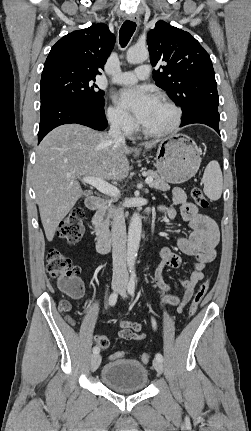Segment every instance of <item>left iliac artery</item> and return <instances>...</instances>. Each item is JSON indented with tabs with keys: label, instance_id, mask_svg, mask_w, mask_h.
I'll return each mask as SVG.
<instances>
[{
	"label": "left iliac artery",
	"instance_id": "44dca946",
	"mask_svg": "<svg viewBox=\"0 0 251 431\" xmlns=\"http://www.w3.org/2000/svg\"><path fill=\"white\" fill-rule=\"evenodd\" d=\"M131 272V277L127 286L128 292L130 295L134 296V292H135V283H136V272L134 268H131L130 270ZM152 326L154 329H156V321L155 319L152 317ZM156 359L163 361V356L161 353H157L156 354Z\"/></svg>",
	"mask_w": 251,
	"mask_h": 431
}]
</instances>
